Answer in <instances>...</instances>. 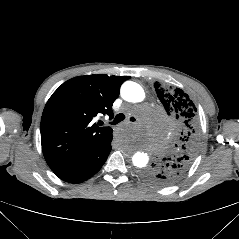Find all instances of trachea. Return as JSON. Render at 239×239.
I'll use <instances>...</instances> for the list:
<instances>
[{"instance_id":"3493384b","label":"trachea","mask_w":239,"mask_h":239,"mask_svg":"<svg viewBox=\"0 0 239 239\" xmlns=\"http://www.w3.org/2000/svg\"><path fill=\"white\" fill-rule=\"evenodd\" d=\"M124 119H125V115L124 114H122V113L117 114L116 117L114 118V120L111 122V124L112 125H116L119 122L123 121ZM130 121H135V118L131 117Z\"/></svg>"}]
</instances>
